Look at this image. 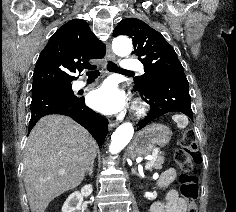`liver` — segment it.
I'll return each mask as SVG.
<instances>
[{"label": "liver", "mask_w": 236, "mask_h": 212, "mask_svg": "<svg viewBox=\"0 0 236 212\" xmlns=\"http://www.w3.org/2000/svg\"><path fill=\"white\" fill-rule=\"evenodd\" d=\"M97 150L90 133L70 117L48 115L40 119L27 139L24 158L31 212H45L54 198L80 185Z\"/></svg>", "instance_id": "obj_1"}]
</instances>
